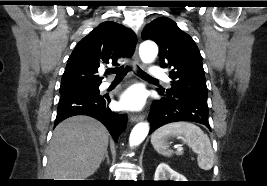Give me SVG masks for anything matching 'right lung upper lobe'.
Returning <instances> with one entry per match:
<instances>
[{
	"mask_svg": "<svg viewBox=\"0 0 267 186\" xmlns=\"http://www.w3.org/2000/svg\"><path fill=\"white\" fill-rule=\"evenodd\" d=\"M137 38L135 34L116 22H102L85 36L71 53L62 76L61 85L100 84L97 75L103 64L119 65L117 60L131 57Z\"/></svg>",
	"mask_w": 267,
	"mask_h": 186,
	"instance_id": "1",
	"label": "right lung upper lobe"
}]
</instances>
